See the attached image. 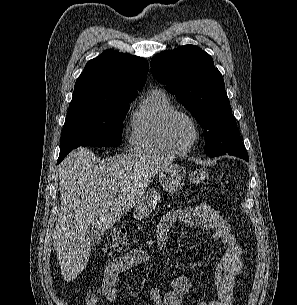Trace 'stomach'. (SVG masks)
I'll use <instances>...</instances> for the list:
<instances>
[{"instance_id": "stomach-1", "label": "stomach", "mask_w": 297, "mask_h": 305, "mask_svg": "<svg viewBox=\"0 0 297 305\" xmlns=\"http://www.w3.org/2000/svg\"><path fill=\"white\" fill-rule=\"evenodd\" d=\"M186 178V170L178 164H170L159 171V182L169 192L179 190ZM160 200L159 193L149 189L137 203L133 215L137 219L146 218L156 207Z\"/></svg>"}]
</instances>
